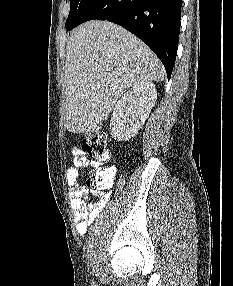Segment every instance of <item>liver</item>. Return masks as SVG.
Listing matches in <instances>:
<instances>
[{"label": "liver", "mask_w": 233, "mask_h": 286, "mask_svg": "<svg viewBox=\"0 0 233 286\" xmlns=\"http://www.w3.org/2000/svg\"><path fill=\"white\" fill-rule=\"evenodd\" d=\"M151 49L124 28L90 21L73 30L66 46L65 127L97 132L120 96L141 81H163Z\"/></svg>", "instance_id": "1"}]
</instances>
